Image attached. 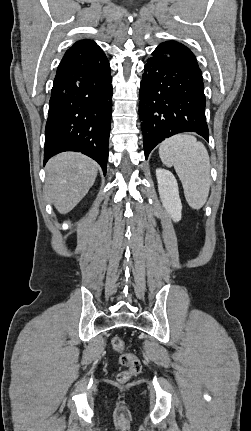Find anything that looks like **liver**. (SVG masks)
I'll use <instances>...</instances> for the list:
<instances>
[{
	"mask_svg": "<svg viewBox=\"0 0 251 431\" xmlns=\"http://www.w3.org/2000/svg\"><path fill=\"white\" fill-rule=\"evenodd\" d=\"M97 172V163L81 153L65 152L48 161L46 189L60 214L70 212L84 198L94 184Z\"/></svg>",
	"mask_w": 251,
	"mask_h": 431,
	"instance_id": "obj_1",
	"label": "liver"
}]
</instances>
